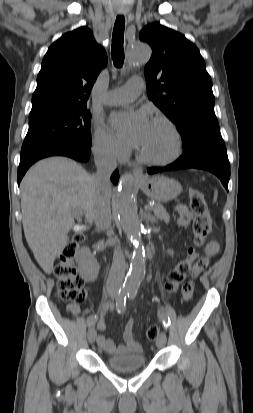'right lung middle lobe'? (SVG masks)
<instances>
[{"label": "right lung middle lobe", "instance_id": "dd1d6c3e", "mask_svg": "<svg viewBox=\"0 0 253 413\" xmlns=\"http://www.w3.org/2000/svg\"><path fill=\"white\" fill-rule=\"evenodd\" d=\"M90 120L86 105L30 112L21 154L62 144L91 146Z\"/></svg>", "mask_w": 253, "mask_h": 413}]
</instances>
